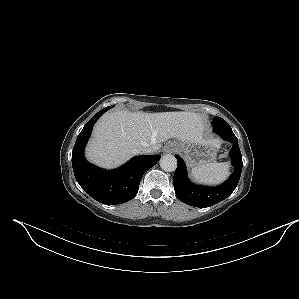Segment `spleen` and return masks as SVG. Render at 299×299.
<instances>
[{"mask_svg": "<svg viewBox=\"0 0 299 299\" xmlns=\"http://www.w3.org/2000/svg\"><path fill=\"white\" fill-rule=\"evenodd\" d=\"M229 174V164L227 162H211L193 167L192 178L203 184L216 185L223 182Z\"/></svg>", "mask_w": 299, "mask_h": 299, "instance_id": "3e777b00", "label": "spleen"}]
</instances>
